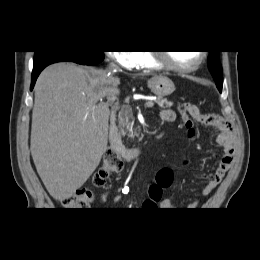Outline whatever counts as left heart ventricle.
<instances>
[{
  "label": "left heart ventricle",
  "mask_w": 260,
  "mask_h": 260,
  "mask_svg": "<svg viewBox=\"0 0 260 260\" xmlns=\"http://www.w3.org/2000/svg\"><path fill=\"white\" fill-rule=\"evenodd\" d=\"M169 59L177 65H192L199 59L198 51H175L168 53Z\"/></svg>",
  "instance_id": "left-heart-ventricle-1"
}]
</instances>
